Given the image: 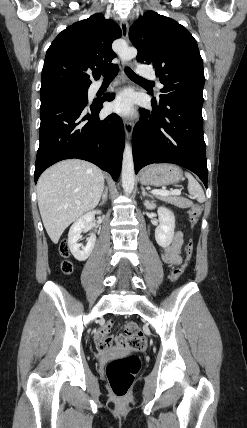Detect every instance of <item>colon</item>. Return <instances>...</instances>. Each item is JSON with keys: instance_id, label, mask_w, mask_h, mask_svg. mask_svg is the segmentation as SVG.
Here are the masks:
<instances>
[{"instance_id": "colon-1", "label": "colon", "mask_w": 247, "mask_h": 428, "mask_svg": "<svg viewBox=\"0 0 247 428\" xmlns=\"http://www.w3.org/2000/svg\"><path fill=\"white\" fill-rule=\"evenodd\" d=\"M201 211L202 209L198 204H194L190 208L189 222L192 226L196 225L198 222ZM193 248V242L192 240H189L185 247L184 262L181 265L174 267L171 271L172 281H178L182 276L184 267L192 255ZM59 252L63 258H67L69 256V247L66 241L61 242ZM61 268L66 274H70L73 271V265L67 259L63 260ZM112 325V321H109L101 329V336L98 340V347L100 349L105 350L115 344L135 351H140L146 347L147 340L136 323L131 322L126 324L124 327V333L116 337L110 334ZM139 368L140 361L138 357L134 355L116 358L108 362L105 370L106 376L111 390L116 397L122 398L128 393Z\"/></svg>"}]
</instances>
